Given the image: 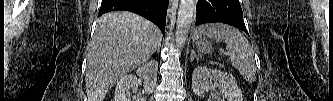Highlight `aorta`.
<instances>
[{
  "mask_svg": "<svg viewBox=\"0 0 333 101\" xmlns=\"http://www.w3.org/2000/svg\"><path fill=\"white\" fill-rule=\"evenodd\" d=\"M196 0H180L175 40L177 47L184 46L194 18Z\"/></svg>",
  "mask_w": 333,
  "mask_h": 101,
  "instance_id": "762f6f07",
  "label": "aorta"
}]
</instances>
